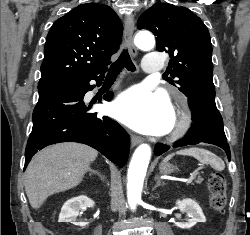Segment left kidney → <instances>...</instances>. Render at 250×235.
<instances>
[{"label": "left kidney", "mask_w": 250, "mask_h": 235, "mask_svg": "<svg viewBox=\"0 0 250 235\" xmlns=\"http://www.w3.org/2000/svg\"><path fill=\"white\" fill-rule=\"evenodd\" d=\"M178 208L182 213H186L190 219L188 222H177L176 226L181 229H189L198 222H206V218L203 214L200 206L192 199H183L176 202Z\"/></svg>", "instance_id": "1"}]
</instances>
